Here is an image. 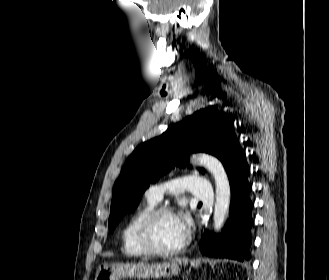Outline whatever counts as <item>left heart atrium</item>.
Here are the masks:
<instances>
[{
	"mask_svg": "<svg viewBox=\"0 0 329 280\" xmlns=\"http://www.w3.org/2000/svg\"><path fill=\"white\" fill-rule=\"evenodd\" d=\"M176 220L181 233L184 237H187L190 234L192 227V220L190 215L187 212L180 213L176 215Z\"/></svg>",
	"mask_w": 329,
	"mask_h": 280,
	"instance_id": "39dd6f15",
	"label": "left heart atrium"
}]
</instances>
